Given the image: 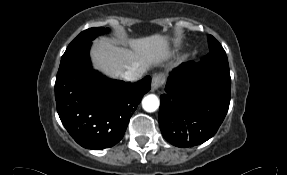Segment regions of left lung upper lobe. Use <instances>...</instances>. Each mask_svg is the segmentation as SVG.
<instances>
[{
	"label": "left lung upper lobe",
	"instance_id": "left-lung-upper-lobe-1",
	"mask_svg": "<svg viewBox=\"0 0 287 175\" xmlns=\"http://www.w3.org/2000/svg\"><path fill=\"white\" fill-rule=\"evenodd\" d=\"M208 44L210 52L204 56L201 62L219 64L229 68L226 53L221 44L212 36H208Z\"/></svg>",
	"mask_w": 287,
	"mask_h": 175
}]
</instances>
